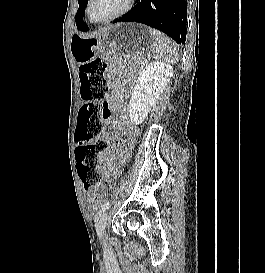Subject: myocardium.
Returning a JSON list of instances; mask_svg holds the SVG:
<instances>
[{
  "instance_id": "1",
  "label": "myocardium",
  "mask_w": 265,
  "mask_h": 273,
  "mask_svg": "<svg viewBox=\"0 0 265 273\" xmlns=\"http://www.w3.org/2000/svg\"><path fill=\"white\" fill-rule=\"evenodd\" d=\"M91 3H92V0H88L87 5H86V16L89 19V21L92 23H107V22L116 20V19L122 17L123 15H125L126 13H128L133 8L135 0H127L126 5L121 10H119L115 14H113L109 17H106L104 19H93L91 17V12H90Z\"/></svg>"
}]
</instances>
